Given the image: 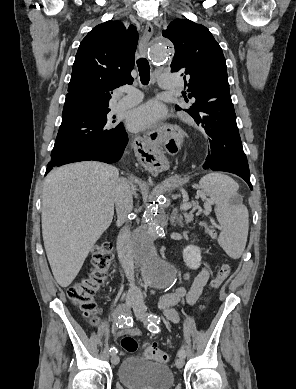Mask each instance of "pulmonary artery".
<instances>
[{"label": "pulmonary artery", "instance_id": "obj_1", "mask_svg": "<svg viewBox=\"0 0 296 389\" xmlns=\"http://www.w3.org/2000/svg\"><path fill=\"white\" fill-rule=\"evenodd\" d=\"M160 87L163 89L174 90L178 87L177 79L171 74H163L159 78ZM142 100V94L136 88H127L126 95L118 102L119 109H126L138 104Z\"/></svg>", "mask_w": 296, "mask_h": 389}]
</instances>
